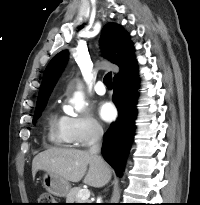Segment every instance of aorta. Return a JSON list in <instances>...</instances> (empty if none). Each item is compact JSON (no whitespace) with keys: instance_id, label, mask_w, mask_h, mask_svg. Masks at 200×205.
<instances>
[{"instance_id":"762f6f07","label":"aorta","mask_w":200,"mask_h":205,"mask_svg":"<svg viewBox=\"0 0 200 205\" xmlns=\"http://www.w3.org/2000/svg\"><path fill=\"white\" fill-rule=\"evenodd\" d=\"M82 106H83V102L79 99L77 101V107H78L77 109L80 110L82 108Z\"/></svg>"}]
</instances>
